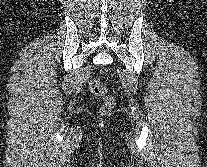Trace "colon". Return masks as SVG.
<instances>
[{
  "instance_id": "colon-1",
  "label": "colon",
  "mask_w": 207,
  "mask_h": 167,
  "mask_svg": "<svg viewBox=\"0 0 207 167\" xmlns=\"http://www.w3.org/2000/svg\"><path fill=\"white\" fill-rule=\"evenodd\" d=\"M90 92L100 97L103 101L102 110L110 111L115 105V97L108 93V90L105 85H103L98 79H92L89 83Z\"/></svg>"
}]
</instances>
